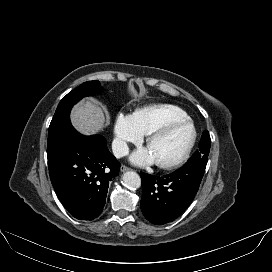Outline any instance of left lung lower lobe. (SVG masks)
<instances>
[{
	"mask_svg": "<svg viewBox=\"0 0 272 272\" xmlns=\"http://www.w3.org/2000/svg\"><path fill=\"white\" fill-rule=\"evenodd\" d=\"M206 164H185L172 174L161 177L140 173L141 210L145 218L156 225L175 220L193 201Z\"/></svg>",
	"mask_w": 272,
	"mask_h": 272,
	"instance_id": "left-lung-lower-lobe-1",
	"label": "left lung lower lobe"
}]
</instances>
